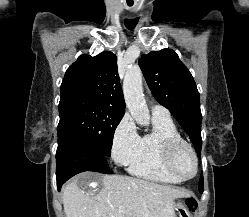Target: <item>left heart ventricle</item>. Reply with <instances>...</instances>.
<instances>
[{
    "label": "left heart ventricle",
    "mask_w": 249,
    "mask_h": 217,
    "mask_svg": "<svg viewBox=\"0 0 249 217\" xmlns=\"http://www.w3.org/2000/svg\"><path fill=\"white\" fill-rule=\"evenodd\" d=\"M177 168L184 174L189 175L193 171V159L188 152H182L177 158Z\"/></svg>",
    "instance_id": "left-heart-ventricle-1"
}]
</instances>
